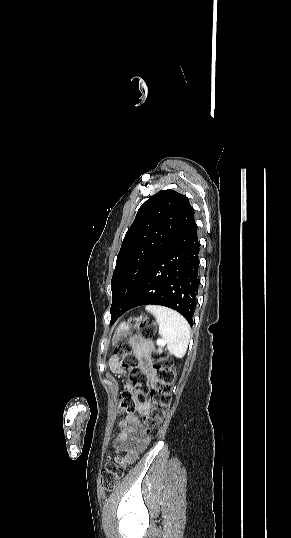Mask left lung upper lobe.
<instances>
[{
    "mask_svg": "<svg viewBox=\"0 0 291 538\" xmlns=\"http://www.w3.org/2000/svg\"><path fill=\"white\" fill-rule=\"evenodd\" d=\"M193 220L188 198L174 190H161L143 203L117 256L110 312L132 301L160 254Z\"/></svg>",
    "mask_w": 291,
    "mask_h": 538,
    "instance_id": "1",
    "label": "left lung upper lobe"
}]
</instances>
